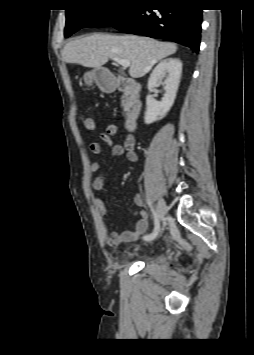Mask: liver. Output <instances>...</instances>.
<instances>
[{"label":"liver","instance_id":"1","mask_svg":"<svg viewBox=\"0 0 254 355\" xmlns=\"http://www.w3.org/2000/svg\"><path fill=\"white\" fill-rule=\"evenodd\" d=\"M174 43L160 42L135 35L116 36L95 33L67 43L62 51L66 63L100 69L109 59L130 60L129 74L140 78L163 58L176 52Z\"/></svg>","mask_w":254,"mask_h":355}]
</instances>
